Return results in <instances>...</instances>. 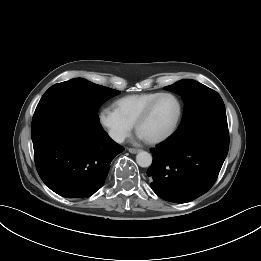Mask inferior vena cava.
Instances as JSON below:
<instances>
[{
    "label": "inferior vena cava",
    "instance_id": "1",
    "mask_svg": "<svg viewBox=\"0 0 261 261\" xmlns=\"http://www.w3.org/2000/svg\"><path fill=\"white\" fill-rule=\"evenodd\" d=\"M109 135L117 143H122L125 140L124 135L116 133V132H110Z\"/></svg>",
    "mask_w": 261,
    "mask_h": 261
}]
</instances>
